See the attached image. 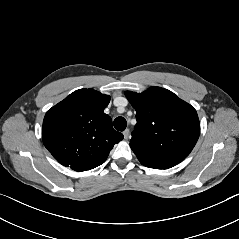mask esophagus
<instances>
[{
	"mask_svg": "<svg viewBox=\"0 0 239 239\" xmlns=\"http://www.w3.org/2000/svg\"><path fill=\"white\" fill-rule=\"evenodd\" d=\"M129 134H130L129 129H126V130L123 132L124 139H128Z\"/></svg>",
	"mask_w": 239,
	"mask_h": 239,
	"instance_id": "esophagus-1",
	"label": "esophagus"
}]
</instances>
